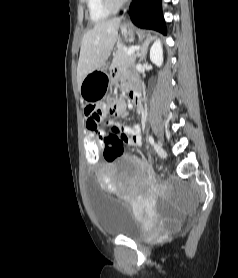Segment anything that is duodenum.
Listing matches in <instances>:
<instances>
[{"instance_id": "410a0bca", "label": "duodenum", "mask_w": 238, "mask_h": 278, "mask_svg": "<svg viewBox=\"0 0 238 278\" xmlns=\"http://www.w3.org/2000/svg\"><path fill=\"white\" fill-rule=\"evenodd\" d=\"M134 104L137 108V110H141L142 103H141V98L138 92H135L134 94Z\"/></svg>"}]
</instances>
